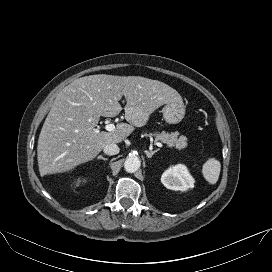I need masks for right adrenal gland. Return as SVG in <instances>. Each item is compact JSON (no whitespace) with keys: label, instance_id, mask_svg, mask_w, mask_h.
<instances>
[{"label":"right adrenal gland","instance_id":"1","mask_svg":"<svg viewBox=\"0 0 272 272\" xmlns=\"http://www.w3.org/2000/svg\"><path fill=\"white\" fill-rule=\"evenodd\" d=\"M97 159H102V160H104V161L108 160V158H104L102 155H99V156L97 157Z\"/></svg>","mask_w":272,"mask_h":272}]
</instances>
